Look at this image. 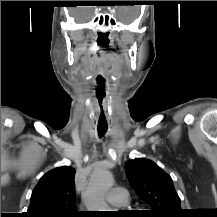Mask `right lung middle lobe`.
Returning <instances> with one entry per match:
<instances>
[{
    "label": "right lung middle lobe",
    "instance_id": "1",
    "mask_svg": "<svg viewBox=\"0 0 217 217\" xmlns=\"http://www.w3.org/2000/svg\"><path fill=\"white\" fill-rule=\"evenodd\" d=\"M78 215H63L61 217H77Z\"/></svg>",
    "mask_w": 217,
    "mask_h": 217
}]
</instances>
